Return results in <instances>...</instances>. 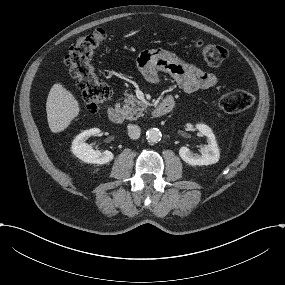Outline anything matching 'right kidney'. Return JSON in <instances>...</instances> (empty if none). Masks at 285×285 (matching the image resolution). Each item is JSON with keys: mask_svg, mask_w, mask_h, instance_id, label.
<instances>
[{"mask_svg": "<svg viewBox=\"0 0 285 285\" xmlns=\"http://www.w3.org/2000/svg\"><path fill=\"white\" fill-rule=\"evenodd\" d=\"M98 133H100L99 128H92L85 130L77 135L72 142L71 149L73 154L86 163L105 164L110 162L114 158L112 152L106 150L101 153L100 151L94 150L92 146L85 143V141L90 136L96 135Z\"/></svg>", "mask_w": 285, "mask_h": 285, "instance_id": "ca27d5eb", "label": "right kidney"}]
</instances>
